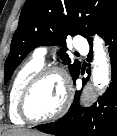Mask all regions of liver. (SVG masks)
<instances>
[{
    "instance_id": "1",
    "label": "liver",
    "mask_w": 117,
    "mask_h": 136,
    "mask_svg": "<svg viewBox=\"0 0 117 136\" xmlns=\"http://www.w3.org/2000/svg\"><path fill=\"white\" fill-rule=\"evenodd\" d=\"M5 136H41L37 131H30L28 129H11L5 133Z\"/></svg>"
}]
</instances>
